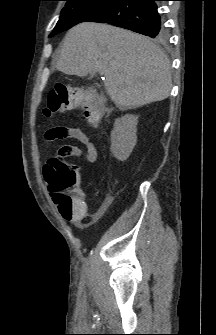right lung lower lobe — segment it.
Listing matches in <instances>:
<instances>
[{"mask_svg": "<svg viewBox=\"0 0 216 335\" xmlns=\"http://www.w3.org/2000/svg\"><path fill=\"white\" fill-rule=\"evenodd\" d=\"M156 1L116 0L88 21L109 23L156 38L165 31Z\"/></svg>", "mask_w": 216, "mask_h": 335, "instance_id": "98d812e1", "label": "right lung lower lobe"}]
</instances>
